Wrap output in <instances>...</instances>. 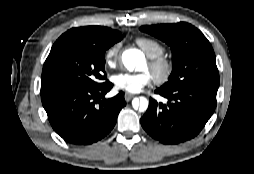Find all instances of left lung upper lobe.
Masks as SVG:
<instances>
[{
    "mask_svg": "<svg viewBox=\"0 0 254 174\" xmlns=\"http://www.w3.org/2000/svg\"><path fill=\"white\" fill-rule=\"evenodd\" d=\"M140 30L159 38L171 47L172 73L169 81L160 88L177 90L189 85L218 88L219 73L214 51L207 38L196 27L180 22L146 25Z\"/></svg>",
    "mask_w": 254,
    "mask_h": 174,
    "instance_id": "obj_1",
    "label": "left lung upper lobe"
}]
</instances>
